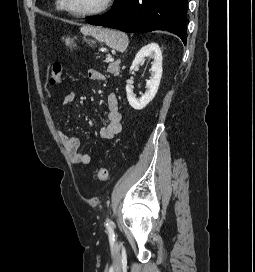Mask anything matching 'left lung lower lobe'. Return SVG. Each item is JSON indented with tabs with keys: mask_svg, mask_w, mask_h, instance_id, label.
<instances>
[{
	"mask_svg": "<svg viewBox=\"0 0 255 272\" xmlns=\"http://www.w3.org/2000/svg\"><path fill=\"white\" fill-rule=\"evenodd\" d=\"M186 6L187 0H115L110 12L86 21L127 33L166 30L186 43Z\"/></svg>",
	"mask_w": 255,
	"mask_h": 272,
	"instance_id": "1",
	"label": "left lung lower lobe"
}]
</instances>
